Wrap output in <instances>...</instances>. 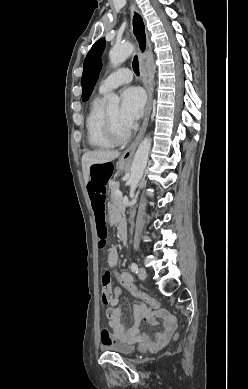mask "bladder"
<instances>
[{"label":"bladder","instance_id":"bladder-1","mask_svg":"<svg viewBox=\"0 0 248 389\" xmlns=\"http://www.w3.org/2000/svg\"><path fill=\"white\" fill-rule=\"evenodd\" d=\"M101 348L107 352H114L124 356L131 355L135 351L133 345L126 344L118 339H114L111 343L102 344Z\"/></svg>","mask_w":248,"mask_h":389}]
</instances>
